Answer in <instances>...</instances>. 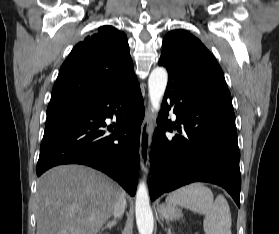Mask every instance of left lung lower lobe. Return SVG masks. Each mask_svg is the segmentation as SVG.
I'll use <instances>...</instances> for the list:
<instances>
[{
	"mask_svg": "<svg viewBox=\"0 0 279 234\" xmlns=\"http://www.w3.org/2000/svg\"><path fill=\"white\" fill-rule=\"evenodd\" d=\"M169 80L153 135L151 200L183 185L204 181L226 189L240 207V152L228 88L187 76L160 59ZM176 123L167 119L169 110ZM176 128L184 135L167 138Z\"/></svg>",
	"mask_w": 279,
	"mask_h": 234,
	"instance_id": "0a47b994",
	"label": "left lung lower lobe"
}]
</instances>
